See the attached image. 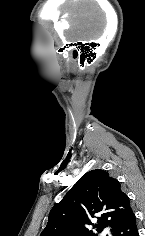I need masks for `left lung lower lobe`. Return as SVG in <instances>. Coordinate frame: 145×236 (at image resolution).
<instances>
[{"label":"left lung lower lobe","mask_w":145,"mask_h":236,"mask_svg":"<svg viewBox=\"0 0 145 236\" xmlns=\"http://www.w3.org/2000/svg\"><path fill=\"white\" fill-rule=\"evenodd\" d=\"M113 236H138L136 217L131 211L112 231Z\"/></svg>","instance_id":"left-lung-lower-lobe-1"}]
</instances>
